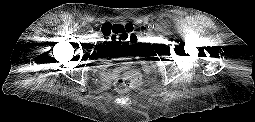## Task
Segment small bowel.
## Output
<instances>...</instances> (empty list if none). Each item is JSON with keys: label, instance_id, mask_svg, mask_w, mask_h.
Returning a JSON list of instances; mask_svg holds the SVG:
<instances>
[{"label": "small bowel", "instance_id": "c3829d8e", "mask_svg": "<svg viewBox=\"0 0 255 122\" xmlns=\"http://www.w3.org/2000/svg\"><path fill=\"white\" fill-rule=\"evenodd\" d=\"M110 23H105L102 25H109ZM129 24V23H127ZM102 30V28H101ZM102 34L104 35V33L102 32ZM105 36V35H104ZM128 41L124 39L122 36H116L114 34H112L111 36H106V40L105 42H103L100 46V51L105 54L107 52V50L111 49L112 47H124L128 45ZM113 74V73H112Z\"/></svg>", "mask_w": 255, "mask_h": 122}]
</instances>
